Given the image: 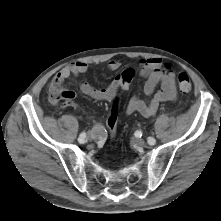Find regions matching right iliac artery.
<instances>
[{
    "label": "right iliac artery",
    "instance_id": "1",
    "mask_svg": "<svg viewBox=\"0 0 221 221\" xmlns=\"http://www.w3.org/2000/svg\"><path fill=\"white\" fill-rule=\"evenodd\" d=\"M78 141L80 142V143H85L86 142V133H81L80 134V136H79V138H78Z\"/></svg>",
    "mask_w": 221,
    "mask_h": 221
}]
</instances>
